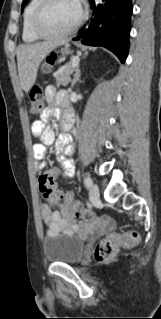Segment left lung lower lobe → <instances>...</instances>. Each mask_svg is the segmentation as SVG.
Here are the masks:
<instances>
[{"label": "left lung lower lobe", "instance_id": "obj_1", "mask_svg": "<svg viewBox=\"0 0 161 319\" xmlns=\"http://www.w3.org/2000/svg\"><path fill=\"white\" fill-rule=\"evenodd\" d=\"M103 1L104 4L96 5L94 0H89L93 17L73 40L82 39L85 45L103 46L124 63L129 48L132 0Z\"/></svg>", "mask_w": 161, "mask_h": 319}]
</instances>
